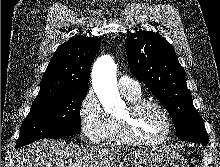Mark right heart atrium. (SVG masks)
<instances>
[{
  "instance_id": "right-heart-atrium-1",
  "label": "right heart atrium",
  "mask_w": 220,
  "mask_h": 167,
  "mask_svg": "<svg viewBox=\"0 0 220 167\" xmlns=\"http://www.w3.org/2000/svg\"><path fill=\"white\" fill-rule=\"evenodd\" d=\"M79 122L83 138L91 144H101L107 139L110 116L102 108L92 89L84 94L79 106Z\"/></svg>"
}]
</instances>
